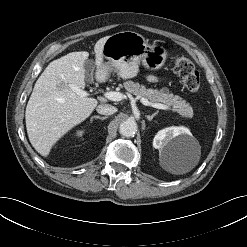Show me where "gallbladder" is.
Here are the masks:
<instances>
[{"mask_svg": "<svg viewBox=\"0 0 247 247\" xmlns=\"http://www.w3.org/2000/svg\"><path fill=\"white\" fill-rule=\"evenodd\" d=\"M84 68H85V71L88 73L90 71H92L93 69V61L91 60H86L85 61V64H84Z\"/></svg>", "mask_w": 247, "mask_h": 247, "instance_id": "obj_1", "label": "gallbladder"}]
</instances>
